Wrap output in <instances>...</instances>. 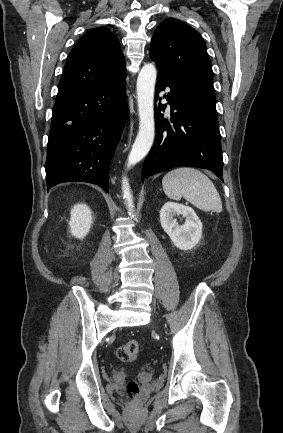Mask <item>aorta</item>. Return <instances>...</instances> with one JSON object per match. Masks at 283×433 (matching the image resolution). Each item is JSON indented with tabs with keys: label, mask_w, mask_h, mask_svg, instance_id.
Wrapping results in <instances>:
<instances>
[{
	"label": "aorta",
	"mask_w": 283,
	"mask_h": 433,
	"mask_svg": "<svg viewBox=\"0 0 283 433\" xmlns=\"http://www.w3.org/2000/svg\"><path fill=\"white\" fill-rule=\"evenodd\" d=\"M156 68L153 64H145L137 78V103L139 113V131L128 156L127 168L141 161L150 151L155 137L154 91ZM123 198L127 202L129 214L134 217L133 196L128 179H122Z\"/></svg>",
	"instance_id": "762f6f07"
}]
</instances>
